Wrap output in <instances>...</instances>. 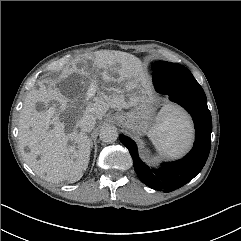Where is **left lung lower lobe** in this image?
<instances>
[{
    "label": "left lung lower lobe",
    "mask_w": 241,
    "mask_h": 241,
    "mask_svg": "<svg viewBox=\"0 0 241 241\" xmlns=\"http://www.w3.org/2000/svg\"><path fill=\"white\" fill-rule=\"evenodd\" d=\"M153 83L158 93L168 95L191 114L195 125V142L192 150L183 159L164 163L160 173L152 170L138 157L136 144L123 135L120 141L128 148L140 180L152 189L171 192L191 181L203 168L211 146L212 120L207 98L198 82L172 90L159 72H153ZM163 171V172H161Z\"/></svg>",
    "instance_id": "obj_1"
}]
</instances>
